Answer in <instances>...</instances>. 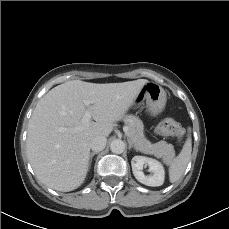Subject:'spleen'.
<instances>
[{
    "label": "spleen",
    "mask_w": 229,
    "mask_h": 229,
    "mask_svg": "<svg viewBox=\"0 0 229 229\" xmlns=\"http://www.w3.org/2000/svg\"><path fill=\"white\" fill-rule=\"evenodd\" d=\"M192 152L191 137L188 136L185 144L179 155L173 159L169 166V180L171 183L178 181L183 175L189 161Z\"/></svg>",
    "instance_id": "3e777b00"
}]
</instances>
